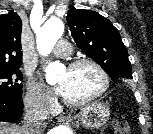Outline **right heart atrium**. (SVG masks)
I'll use <instances>...</instances> for the list:
<instances>
[{"label": "right heart atrium", "instance_id": "1", "mask_svg": "<svg viewBox=\"0 0 153 134\" xmlns=\"http://www.w3.org/2000/svg\"><path fill=\"white\" fill-rule=\"evenodd\" d=\"M25 105L34 114L48 115L55 107V100L47 89L30 81L25 95Z\"/></svg>", "mask_w": 153, "mask_h": 134}]
</instances>
